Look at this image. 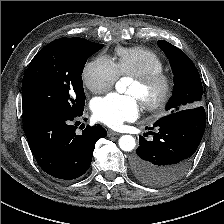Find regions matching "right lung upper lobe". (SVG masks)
Returning a JSON list of instances; mask_svg holds the SVG:
<instances>
[{
    "label": "right lung upper lobe",
    "instance_id": "obj_1",
    "mask_svg": "<svg viewBox=\"0 0 224 224\" xmlns=\"http://www.w3.org/2000/svg\"><path fill=\"white\" fill-rule=\"evenodd\" d=\"M62 39H78V38H62Z\"/></svg>",
    "mask_w": 224,
    "mask_h": 224
}]
</instances>
